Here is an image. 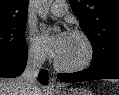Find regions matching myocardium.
Masks as SVG:
<instances>
[{"label":"myocardium","mask_w":119,"mask_h":95,"mask_svg":"<svg viewBox=\"0 0 119 95\" xmlns=\"http://www.w3.org/2000/svg\"><path fill=\"white\" fill-rule=\"evenodd\" d=\"M71 34L79 37L84 42L86 47V55L80 63L75 65H63L56 59L54 62L55 68L59 71L67 73H75L87 69L93 62L95 55L94 45L87 34L80 30H74L71 32Z\"/></svg>","instance_id":"obj_1"}]
</instances>
